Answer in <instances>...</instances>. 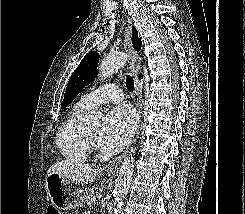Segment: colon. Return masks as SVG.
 I'll return each mask as SVG.
<instances>
[{
	"instance_id": "5ec220e1",
	"label": "colon",
	"mask_w": 245,
	"mask_h": 214,
	"mask_svg": "<svg viewBox=\"0 0 245 214\" xmlns=\"http://www.w3.org/2000/svg\"><path fill=\"white\" fill-rule=\"evenodd\" d=\"M49 214H60V213L55 208H50Z\"/></svg>"
}]
</instances>
